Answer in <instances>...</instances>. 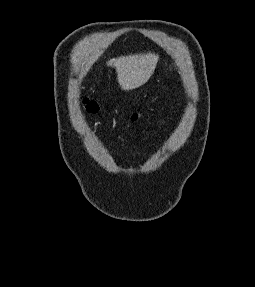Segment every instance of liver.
Returning a JSON list of instances; mask_svg holds the SVG:
<instances>
[{
    "mask_svg": "<svg viewBox=\"0 0 255 287\" xmlns=\"http://www.w3.org/2000/svg\"><path fill=\"white\" fill-rule=\"evenodd\" d=\"M158 62L157 54H136V56H122L107 62V66H114L121 90H134L146 84L152 76Z\"/></svg>",
    "mask_w": 255,
    "mask_h": 287,
    "instance_id": "obj_1",
    "label": "liver"
}]
</instances>
